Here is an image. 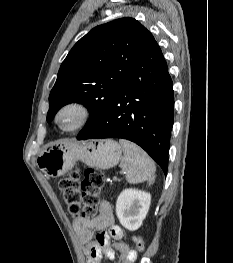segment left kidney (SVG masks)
Here are the masks:
<instances>
[{
  "label": "left kidney",
  "mask_w": 233,
  "mask_h": 263,
  "mask_svg": "<svg viewBox=\"0 0 233 263\" xmlns=\"http://www.w3.org/2000/svg\"><path fill=\"white\" fill-rule=\"evenodd\" d=\"M150 203V193L137 189L123 190L116 202V214L121 225L130 231L140 228Z\"/></svg>",
  "instance_id": "1"
}]
</instances>
